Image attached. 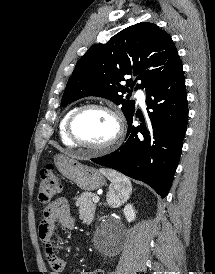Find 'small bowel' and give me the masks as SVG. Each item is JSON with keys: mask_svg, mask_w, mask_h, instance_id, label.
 <instances>
[{"mask_svg": "<svg viewBox=\"0 0 215 274\" xmlns=\"http://www.w3.org/2000/svg\"><path fill=\"white\" fill-rule=\"evenodd\" d=\"M57 223H60L66 229H74L76 226V220L71 214L69 205L64 198L57 199L45 210L43 219L39 225V237L45 246L46 256L51 268L50 274H60L66 267V261L54 251L53 238ZM101 272V269H97L81 274H99Z\"/></svg>", "mask_w": 215, "mask_h": 274, "instance_id": "c3829d8e", "label": "small bowel"}]
</instances>
